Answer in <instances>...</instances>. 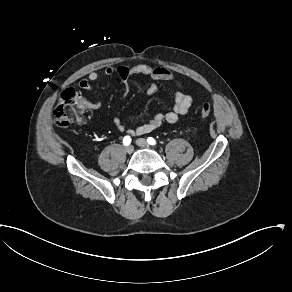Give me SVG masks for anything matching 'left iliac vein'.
<instances>
[{"label":"left iliac vein","mask_w":292,"mask_h":292,"mask_svg":"<svg viewBox=\"0 0 292 292\" xmlns=\"http://www.w3.org/2000/svg\"><path fill=\"white\" fill-rule=\"evenodd\" d=\"M136 144L140 147L149 148V144L144 138L137 139Z\"/></svg>","instance_id":"obj_1"}]
</instances>
